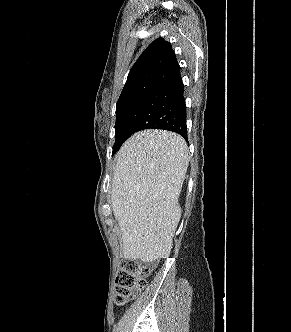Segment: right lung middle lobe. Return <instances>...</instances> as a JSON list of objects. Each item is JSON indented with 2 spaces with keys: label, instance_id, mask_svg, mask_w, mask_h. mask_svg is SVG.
Instances as JSON below:
<instances>
[{
  "label": "right lung middle lobe",
  "instance_id": "1",
  "mask_svg": "<svg viewBox=\"0 0 291 332\" xmlns=\"http://www.w3.org/2000/svg\"><path fill=\"white\" fill-rule=\"evenodd\" d=\"M148 93L135 94L121 100L116 104V123H115V143L113 146V154L118 151L120 146L127 139L124 129L129 121L134 108L139 104L142 98Z\"/></svg>",
  "mask_w": 291,
  "mask_h": 332
}]
</instances>
